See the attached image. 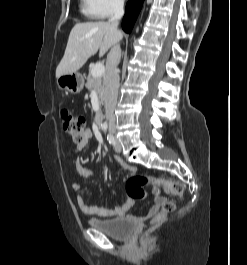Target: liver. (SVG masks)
Masks as SVG:
<instances>
[{"label": "liver", "instance_id": "obj_1", "mask_svg": "<svg viewBox=\"0 0 247 265\" xmlns=\"http://www.w3.org/2000/svg\"><path fill=\"white\" fill-rule=\"evenodd\" d=\"M122 37V33L109 22L75 24L70 32L64 56L56 68V78L77 72L98 50L102 57Z\"/></svg>", "mask_w": 247, "mask_h": 265}]
</instances>
